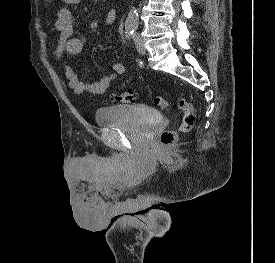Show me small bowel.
<instances>
[{"instance_id": "c3829d8e", "label": "small bowel", "mask_w": 275, "mask_h": 263, "mask_svg": "<svg viewBox=\"0 0 275 263\" xmlns=\"http://www.w3.org/2000/svg\"><path fill=\"white\" fill-rule=\"evenodd\" d=\"M67 4H78L81 0H64ZM117 19L116 10H109L103 18V24L112 25ZM55 29L59 33V42L55 49L57 60L63 65L65 77L69 87L76 94L101 95L104 94L115 79L125 72V65L122 62H114L111 72L106 76L93 81H83L78 73L64 60V54L77 55L85 47V39L81 36H74V17L67 9H61L55 20Z\"/></svg>"}]
</instances>
